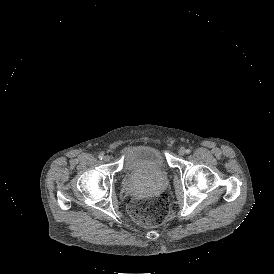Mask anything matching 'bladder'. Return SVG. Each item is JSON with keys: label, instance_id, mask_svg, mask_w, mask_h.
<instances>
[{"label": "bladder", "instance_id": "31cf9c89", "mask_svg": "<svg viewBox=\"0 0 274 274\" xmlns=\"http://www.w3.org/2000/svg\"><path fill=\"white\" fill-rule=\"evenodd\" d=\"M156 170L160 173L167 171V160L156 147L138 144L126 149L124 172H146Z\"/></svg>", "mask_w": 274, "mask_h": 274}]
</instances>
